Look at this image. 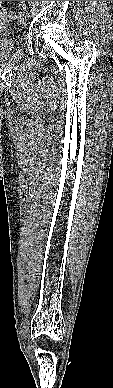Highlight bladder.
I'll return each mask as SVG.
<instances>
[{
  "instance_id": "1",
  "label": "bladder",
  "mask_w": 113,
  "mask_h": 388,
  "mask_svg": "<svg viewBox=\"0 0 113 388\" xmlns=\"http://www.w3.org/2000/svg\"><path fill=\"white\" fill-rule=\"evenodd\" d=\"M0 20V28L6 27V16L2 15ZM13 44L11 42L0 41V60L8 58L13 52Z\"/></svg>"
}]
</instances>
